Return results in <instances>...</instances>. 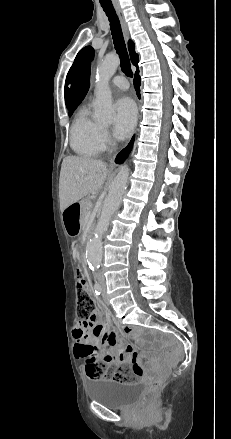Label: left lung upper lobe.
Instances as JSON below:
<instances>
[{"label":"left lung upper lobe","mask_w":231,"mask_h":439,"mask_svg":"<svg viewBox=\"0 0 231 439\" xmlns=\"http://www.w3.org/2000/svg\"><path fill=\"white\" fill-rule=\"evenodd\" d=\"M94 56V50L91 46H87L79 51L77 54L72 67L70 68L67 77H66V85L70 81L73 83L77 78L79 72L82 67L86 64L87 61L92 60ZM70 97V89L65 87V100L68 101Z\"/></svg>","instance_id":"5c2ea615"}]
</instances>
